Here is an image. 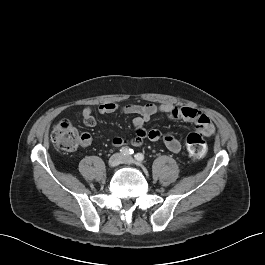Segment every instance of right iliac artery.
<instances>
[{"label":"right iliac artery","mask_w":265,"mask_h":265,"mask_svg":"<svg viewBox=\"0 0 265 265\" xmlns=\"http://www.w3.org/2000/svg\"><path fill=\"white\" fill-rule=\"evenodd\" d=\"M120 152L121 154L127 155V156L132 155L134 153L133 149H130L128 147H123L122 149H120Z\"/></svg>","instance_id":"right-iliac-artery-1"}]
</instances>
